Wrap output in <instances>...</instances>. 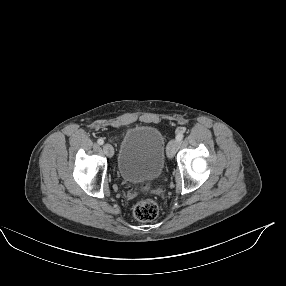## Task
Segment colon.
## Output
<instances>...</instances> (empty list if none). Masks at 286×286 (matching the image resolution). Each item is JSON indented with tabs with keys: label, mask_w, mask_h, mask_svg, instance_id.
Returning a JSON list of instances; mask_svg holds the SVG:
<instances>
[{
	"label": "colon",
	"mask_w": 286,
	"mask_h": 286,
	"mask_svg": "<svg viewBox=\"0 0 286 286\" xmlns=\"http://www.w3.org/2000/svg\"><path fill=\"white\" fill-rule=\"evenodd\" d=\"M143 188L146 189L147 186ZM158 212L157 203L151 199L139 200L133 207V214L140 221H151L157 217Z\"/></svg>",
	"instance_id": "colon-1"
}]
</instances>
